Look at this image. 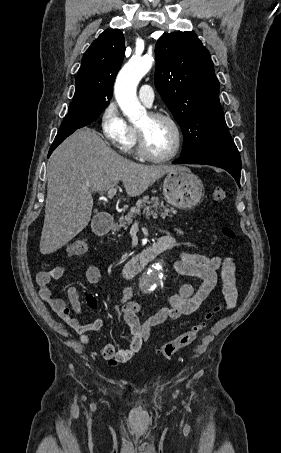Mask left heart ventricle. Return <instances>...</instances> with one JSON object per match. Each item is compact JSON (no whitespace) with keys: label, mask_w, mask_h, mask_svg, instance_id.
I'll use <instances>...</instances> for the list:
<instances>
[{"label":"left heart ventricle","mask_w":281,"mask_h":453,"mask_svg":"<svg viewBox=\"0 0 281 453\" xmlns=\"http://www.w3.org/2000/svg\"><path fill=\"white\" fill-rule=\"evenodd\" d=\"M146 135L149 150L156 155H166L175 141L171 126L165 121H150L146 115L138 125Z\"/></svg>","instance_id":"left-heart-ventricle-1"}]
</instances>
